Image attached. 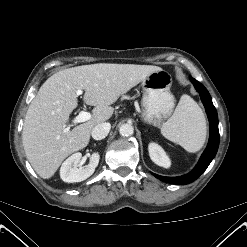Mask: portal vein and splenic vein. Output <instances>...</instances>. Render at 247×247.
<instances>
[{"label": "portal vein and splenic vein", "instance_id": "portal-vein-and-splenic-vein-1", "mask_svg": "<svg viewBox=\"0 0 247 247\" xmlns=\"http://www.w3.org/2000/svg\"><path fill=\"white\" fill-rule=\"evenodd\" d=\"M77 95L82 94V90L76 91ZM91 119V114L86 111H80L79 114L72 120L73 124L82 123ZM70 127H66L65 131H69Z\"/></svg>", "mask_w": 247, "mask_h": 247}]
</instances>
